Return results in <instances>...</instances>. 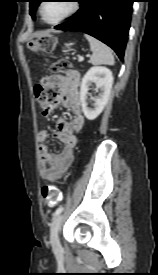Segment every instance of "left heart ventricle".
<instances>
[{
	"label": "left heart ventricle",
	"mask_w": 158,
	"mask_h": 275,
	"mask_svg": "<svg viewBox=\"0 0 158 275\" xmlns=\"http://www.w3.org/2000/svg\"><path fill=\"white\" fill-rule=\"evenodd\" d=\"M71 8V2L65 0L47 1L43 7V15L48 21H55L64 16Z\"/></svg>",
	"instance_id": "1"
}]
</instances>
